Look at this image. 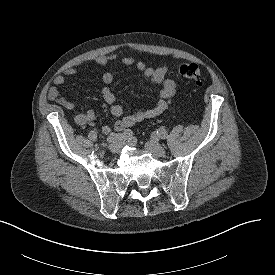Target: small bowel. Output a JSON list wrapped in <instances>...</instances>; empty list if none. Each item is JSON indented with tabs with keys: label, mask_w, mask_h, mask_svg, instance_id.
Returning a JSON list of instances; mask_svg holds the SVG:
<instances>
[{
	"label": "small bowel",
	"mask_w": 275,
	"mask_h": 275,
	"mask_svg": "<svg viewBox=\"0 0 275 275\" xmlns=\"http://www.w3.org/2000/svg\"><path fill=\"white\" fill-rule=\"evenodd\" d=\"M97 65L105 66L110 62H120L125 66L135 64L136 69L143 74L146 80L152 84L160 85L161 88L157 94V99L154 105L148 109L138 111L134 114L124 115V107L122 104L116 103V98L110 87L108 86L114 80V76L110 72H105L102 75V80L106 86L101 88V96L103 100L110 104V113L115 117H119L113 125L103 124L101 130L104 134H110L112 131L121 132L126 128L132 127L140 122L155 118L164 113L169 105L170 99L174 97L177 91L175 80L168 76L169 67L161 66L153 68L147 66L143 61L135 62L132 57H119L117 54L100 55L94 59ZM80 71L77 68H67L61 74L54 78V86L48 90L49 100L61 105L67 110H73L75 104L67 100L59 91L58 86L65 83L66 77L78 75ZM74 121L80 126L95 123L97 116L92 110L78 111L74 114Z\"/></svg>",
	"instance_id": "obj_1"
}]
</instances>
